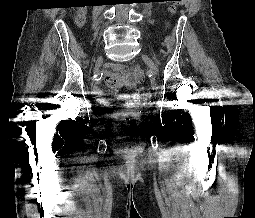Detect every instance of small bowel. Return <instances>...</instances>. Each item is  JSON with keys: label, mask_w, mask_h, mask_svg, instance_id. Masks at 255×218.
I'll return each mask as SVG.
<instances>
[{"label": "small bowel", "mask_w": 255, "mask_h": 218, "mask_svg": "<svg viewBox=\"0 0 255 218\" xmlns=\"http://www.w3.org/2000/svg\"><path fill=\"white\" fill-rule=\"evenodd\" d=\"M104 77L117 82L118 86L134 87L143 80V73L139 67L135 66L131 69L127 68L123 64L119 63H108L106 70L104 71ZM94 95L102 97V92L98 87L93 89ZM128 99L127 95L119 97L120 101Z\"/></svg>", "instance_id": "c3829d8e"}]
</instances>
